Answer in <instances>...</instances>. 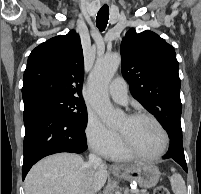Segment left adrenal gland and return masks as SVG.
I'll list each match as a JSON object with an SVG mask.
<instances>
[{
    "label": "left adrenal gland",
    "instance_id": "left-adrenal-gland-1",
    "mask_svg": "<svg viewBox=\"0 0 201 194\" xmlns=\"http://www.w3.org/2000/svg\"><path fill=\"white\" fill-rule=\"evenodd\" d=\"M124 194H128V189L125 190Z\"/></svg>",
    "mask_w": 201,
    "mask_h": 194
}]
</instances>
